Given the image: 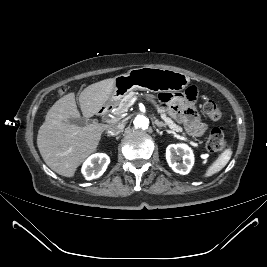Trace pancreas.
Here are the masks:
<instances>
[{"label":"pancreas","instance_id":"cf45deb5","mask_svg":"<svg viewBox=\"0 0 267 267\" xmlns=\"http://www.w3.org/2000/svg\"><path fill=\"white\" fill-rule=\"evenodd\" d=\"M136 93L135 92H129L127 95H125L121 100L117 101L114 103V107H117L116 110L114 111V114L116 116H121L122 114H124L125 112L128 111L129 108V103L130 101L136 97ZM158 112L161 114V118L165 121L166 125L169 126L170 129H172L175 132H180L183 135H185V133H183V129L182 127H180L179 125H177L171 118H169L166 113L165 110L161 107H158Z\"/></svg>","mask_w":267,"mask_h":267}]
</instances>
